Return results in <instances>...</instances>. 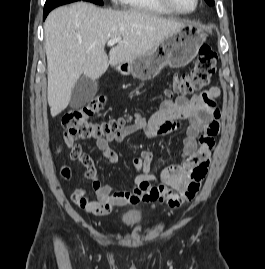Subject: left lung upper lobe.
Here are the masks:
<instances>
[{"label":"left lung upper lobe","mask_w":265,"mask_h":269,"mask_svg":"<svg viewBox=\"0 0 265 269\" xmlns=\"http://www.w3.org/2000/svg\"><path fill=\"white\" fill-rule=\"evenodd\" d=\"M205 1L210 6H213L215 4L214 0H205Z\"/></svg>","instance_id":"5c2ea615"}]
</instances>
